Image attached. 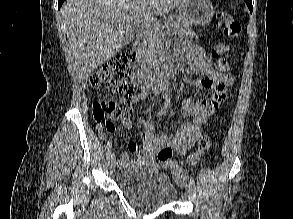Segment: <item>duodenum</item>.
Wrapping results in <instances>:
<instances>
[{
  "mask_svg": "<svg viewBox=\"0 0 293 219\" xmlns=\"http://www.w3.org/2000/svg\"><path fill=\"white\" fill-rule=\"evenodd\" d=\"M145 41L143 33L137 35L136 41L133 46V50L136 56H140ZM175 71V66L172 63L163 64L155 75H152L150 69L146 66L138 68L132 75V84L137 88H148L154 84H163L165 81L170 79Z\"/></svg>",
  "mask_w": 293,
  "mask_h": 219,
  "instance_id": "410a0bca",
  "label": "duodenum"
}]
</instances>
